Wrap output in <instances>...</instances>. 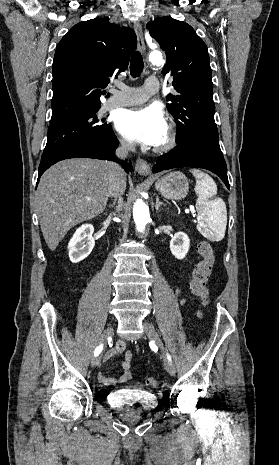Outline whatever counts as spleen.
<instances>
[{"mask_svg": "<svg viewBox=\"0 0 279 465\" xmlns=\"http://www.w3.org/2000/svg\"><path fill=\"white\" fill-rule=\"evenodd\" d=\"M191 173L196 178L195 193L197 229L212 240L220 241L225 236L227 225V210L221 198L213 199L217 194V185L206 173L193 169Z\"/></svg>", "mask_w": 279, "mask_h": 465, "instance_id": "spleen-1", "label": "spleen"}]
</instances>
